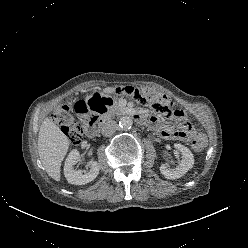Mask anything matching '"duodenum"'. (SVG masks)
<instances>
[{
	"label": "duodenum",
	"mask_w": 248,
	"mask_h": 248,
	"mask_svg": "<svg viewBox=\"0 0 248 248\" xmlns=\"http://www.w3.org/2000/svg\"><path fill=\"white\" fill-rule=\"evenodd\" d=\"M131 115L135 120L139 122L148 123V119L145 118L141 113L136 111H129L127 112ZM108 118V116L104 115H95L86 127V134L88 137H93L97 134L100 125Z\"/></svg>",
	"instance_id": "duodenum-1"
}]
</instances>
